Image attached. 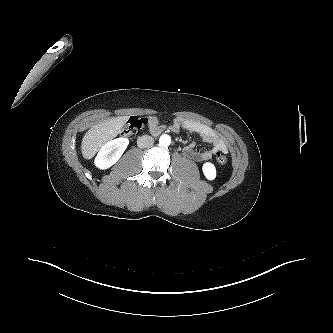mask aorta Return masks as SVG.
<instances>
[{
  "label": "aorta",
  "mask_w": 333,
  "mask_h": 333,
  "mask_svg": "<svg viewBox=\"0 0 333 333\" xmlns=\"http://www.w3.org/2000/svg\"><path fill=\"white\" fill-rule=\"evenodd\" d=\"M159 143H160V145L165 146V147L169 146L171 143L170 136L167 134L161 135V137L159 138Z\"/></svg>",
  "instance_id": "1"
}]
</instances>
